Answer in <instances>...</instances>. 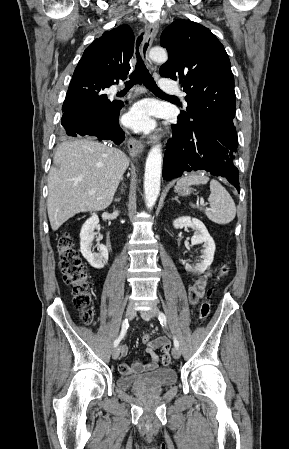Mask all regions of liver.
Segmentation results:
<instances>
[{
  "label": "liver",
  "mask_w": 289,
  "mask_h": 449,
  "mask_svg": "<svg viewBox=\"0 0 289 449\" xmlns=\"http://www.w3.org/2000/svg\"><path fill=\"white\" fill-rule=\"evenodd\" d=\"M53 162L47 198L53 231L75 214L107 208L129 165L127 156L119 149L88 139L62 143Z\"/></svg>",
  "instance_id": "obj_1"
}]
</instances>
